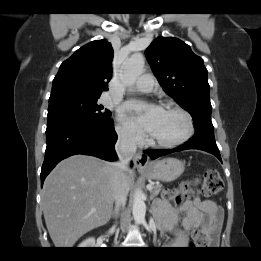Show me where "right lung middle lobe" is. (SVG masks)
Here are the masks:
<instances>
[{
  "mask_svg": "<svg viewBox=\"0 0 261 261\" xmlns=\"http://www.w3.org/2000/svg\"><path fill=\"white\" fill-rule=\"evenodd\" d=\"M100 96H91L78 92H59L49 98L47 123L62 119H87L110 121L111 112L97 104Z\"/></svg>",
  "mask_w": 261,
  "mask_h": 261,
  "instance_id": "1",
  "label": "right lung middle lobe"
}]
</instances>
